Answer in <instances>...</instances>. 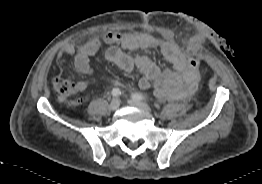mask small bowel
Here are the masks:
<instances>
[{
	"instance_id": "c3829d8e",
	"label": "small bowel",
	"mask_w": 262,
	"mask_h": 184,
	"mask_svg": "<svg viewBox=\"0 0 262 184\" xmlns=\"http://www.w3.org/2000/svg\"><path fill=\"white\" fill-rule=\"evenodd\" d=\"M205 31L198 29L189 37L188 47L197 50L203 44ZM104 44L109 45L106 50V59L125 72L134 70L143 77L139 81L141 89L154 87L156 96L184 100L190 98L196 89L199 80V69L189 71L187 59L191 58L182 52L170 39H162L144 33L109 32L102 39L93 38L80 46L68 44L57 54V62L64 64L74 56V65L78 72L89 75L92 73L91 58L97 54ZM138 49H157L169 63L166 68L159 67L147 56H132L129 51ZM80 92L87 88L85 82L78 84ZM83 98H78L81 103Z\"/></svg>"
}]
</instances>
